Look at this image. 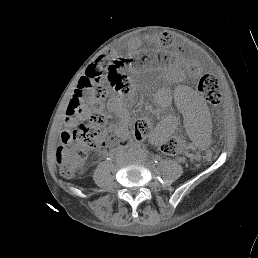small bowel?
Listing matches in <instances>:
<instances>
[{
    "instance_id": "1",
    "label": "small bowel",
    "mask_w": 258,
    "mask_h": 258,
    "mask_svg": "<svg viewBox=\"0 0 258 258\" xmlns=\"http://www.w3.org/2000/svg\"><path fill=\"white\" fill-rule=\"evenodd\" d=\"M139 45H140V40L136 38V39H132V40L128 43L127 48H128V49H135V48H137ZM81 114H82V116H85V115L87 114V112H86L85 110H83ZM157 138H158L157 136L154 137V139H157Z\"/></svg>"
}]
</instances>
